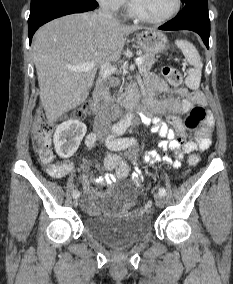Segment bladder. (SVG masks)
Segmentation results:
<instances>
[{"instance_id": "bladder-1", "label": "bladder", "mask_w": 233, "mask_h": 284, "mask_svg": "<svg viewBox=\"0 0 233 284\" xmlns=\"http://www.w3.org/2000/svg\"><path fill=\"white\" fill-rule=\"evenodd\" d=\"M97 203V198L93 194ZM137 189L129 183H121L99 197L101 204L122 205L134 202ZM85 231L99 241L115 246L135 243L152 229V219L146 214L87 216L83 220Z\"/></svg>"}]
</instances>
